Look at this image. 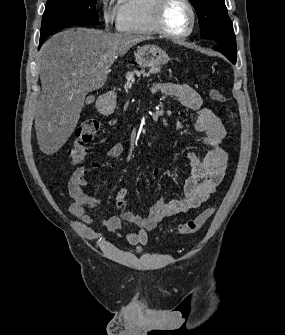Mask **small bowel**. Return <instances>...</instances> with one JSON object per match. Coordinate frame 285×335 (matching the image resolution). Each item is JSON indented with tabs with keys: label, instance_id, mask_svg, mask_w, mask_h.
I'll return each instance as SVG.
<instances>
[{
	"label": "small bowel",
	"instance_id": "1",
	"mask_svg": "<svg viewBox=\"0 0 285 335\" xmlns=\"http://www.w3.org/2000/svg\"><path fill=\"white\" fill-rule=\"evenodd\" d=\"M152 92L174 97L181 106L196 112L194 128L202 134L206 154L203 158L193 152L187 154L191 175L185 182L182 198L170 201L159 199L149 208L144 217L128 211L126 209L127 190L118 191L117 206L121 214L102 218L99 225L108 231L118 232L124 222L135 224L138 229L127 233L125 240L137 246L147 243L148 231L154 229L164 218L188 212L205 202L222 181L227 165V153L221 147V142L226 136V129L211 109L203 107L202 98L195 89L185 83L165 82L154 85ZM176 129L179 131L183 129L181 122H176ZM123 151L122 143H114L105 152L107 160L93 161L87 167H79L69 181V192L74 199L69 212L75 219L77 230L87 240L100 241L102 239L94 219L86 213V209L96 208L100 204L99 199L91 198L84 192L83 187L87 183V177L92 171L114 168L115 165L111 160L119 158ZM157 174L156 170L155 175Z\"/></svg>",
	"mask_w": 285,
	"mask_h": 335
}]
</instances>
